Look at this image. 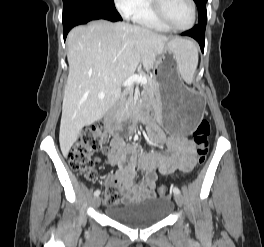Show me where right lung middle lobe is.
Segmentation results:
<instances>
[{"mask_svg": "<svg viewBox=\"0 0 264 247\" xmlns=\"http://www.w3.org/2000/svg\"><path fill=\"white\" fill-rule=\"evenodd\" d=\"M67 2H81V3L96 5L99 7H107V8L115 7L113 0H63V4Z\"/></svg>", "mask_w": 264, "mask_h": 247, "instance_id": "right-lung-middle-lobe-1", "label": "right lung middle lobe"}]
</instances>
